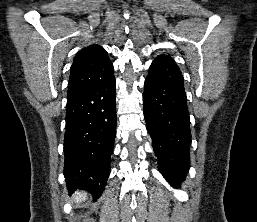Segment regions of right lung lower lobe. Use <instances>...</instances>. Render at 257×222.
I'll use <instances>...</instances> for the list:
<instances>
[{
    "instance_id": "obj_1",
    "label": "right lung lower lobe",
    "mask_w": 257,
    "mask_h": 222,
    "mask_svg": "<svg viewBox=\"0 0 257 222\" xmlns=\"http://www.w3.org/2000/svg\"><path fill=\"white\" fill-rule=\"evenodd\" d=\"M114 71L97 85L67 98L64 176L70 191L99 197L110 174L116 136Z\"/></svg>"
}]
</instances>
